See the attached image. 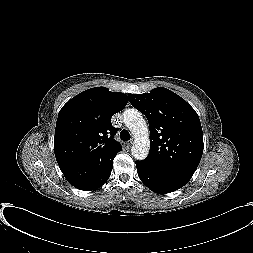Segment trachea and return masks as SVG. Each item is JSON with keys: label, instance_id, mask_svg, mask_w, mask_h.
Returning <instances> with one entry per match:
<instances>
[{"label": "trachea", "instance_id": "3493384b", "mask_svg": "<svg viewBox=\"0 0 253 253\" xmlns=\"http://www.w3.org/2000/svg\"><path fill=\"white\" fill-rule=\"evenodd\" d=\"M120 138L124 141H128L131 138L130 133L127 130L123 129L120 133Z\"/></svg>", "mask_w": 253, "mask_h": 253}]
</instances>
